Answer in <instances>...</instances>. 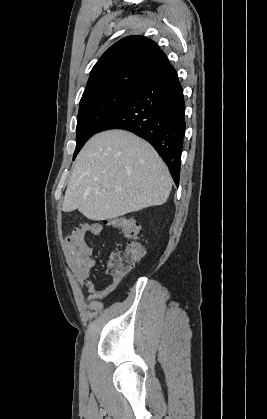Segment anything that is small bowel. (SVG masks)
Returning <instances> with one entry per match:
<instances>
[{"mask_svg":"<svg viewBox=\"0 0 267 419\" xmlns=\"http://www.w3.org/2000/svg\"><path fill=\"white\" fill-rule=\"evenodd\" d=\"M103 226L99 222L83 223L72 229L64 239L67 262L74 282L85 287L89 292L88 302L103 301L119 284L120 277H112L109 284L97 287L90 280V272L95 264L93 248L88 243V236H99Z\"/></svg>","mask_w":267,"mask_h":419,"instance_id":"small-bowel-1","label":"small bowel"}]
</instances>
